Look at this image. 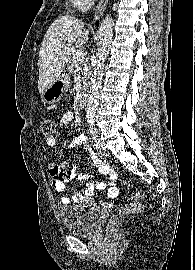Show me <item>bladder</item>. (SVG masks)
Masks as SVG:
<instances>
[{
	"instance_id": "1",
	"label": "bladder",
	"mask_w": 195,
	"mask_h": 270,
	"mask_svg": "<svg viewBox=\"0 0 195 270\" xmlns=\"http://www.w3.org/2000/svg\"><path fill=\"white\" fill-rule=\"evenodd\" d=\"M59 217L66 232L88 235L95 227L99 212L90 204L64 206L59 209Z\"/></svg>"
}]
</instances>
